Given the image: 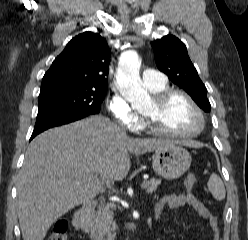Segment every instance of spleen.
Returning <instances> with one entry per match:
<instances>
[{
    "label": "spleen",
    "instance_id": "obj_1",
    "mask_svg": "<svg viewBox=\"0 0 248 240\" xmlns=\"http://www.w3.org/2000/svg\"><path fill=\"white\" fill-rule=\"evenodd\" d=\"M207 185H208L209 191L212 193L213 197L216 200L221 201L225 198V195H226L225 187H224L222 180L217 174L213 173L210 176Z\"/></svg>",
    "mask_w": 248,
    "mask_h": 240
}]
</instances>
